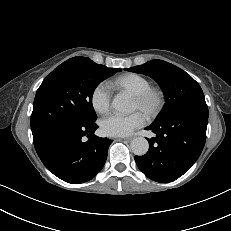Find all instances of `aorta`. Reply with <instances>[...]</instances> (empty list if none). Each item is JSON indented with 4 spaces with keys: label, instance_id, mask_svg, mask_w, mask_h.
<instances>
[{
    "label": "aorta",
    "instance_id": "obj_1",
    "mask_svg": "<svg viewBox=\"0 0 231 231\" xmlns=\"http://www.w3.org/2000/svg\"><path fill=\"white\" fill-rule=\"evenodd\" d=\"M112 107L122 113L132 112V105L130 100L122 94H117L114 97L112 101ZM130 147L135 155L142 156L148 152L149 143L144 137H136L132 140Z\"/></svg>",
    "mask_w": 231,
    "mask_h": 231
}]
</instances>
